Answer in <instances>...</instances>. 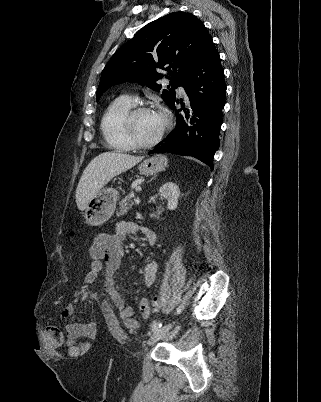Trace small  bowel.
Segmentation results:
<instances>
[{
  "mask_svg": "<svg viewBox=\"0 0 321 402\" xmlns=\"http://www.w3.org/2000/svg\"><path fill=\"white\" fill-rule=\"evenodd\" d=\"M140 233L149 245H154L157 240L156 233L145 226H141L134 221H119L112 233H102L95 237L89 247V257L91 263L84 274V282L91 284L95 281L98 274L104 270L105 281L104 290L113 305L118 309L119 316L124 325L129 329H136L137 320L133 317V309L125 305L124 300L117 290L114 282V275L121 265L124 256L123 243L129 235ZM158 272V263L151 261L147 263L143 270L144 282L147 286H152L156 280ZM140 309L144 317L150 316V309L147 299L140 300ZM74 313V307L71 304L66 305L61 310V318L69 319ZM98 321H88L86 324L78 322H69L65 326L67 336V346L72 358H83L84 350H90V341H85L89 335H95L98 332Z\"/></svg>",
  "mask_w": 321,
  "mask_h": 402,
  "instance_id": "1",
  "label": "small bowel"
}]
</instances>
